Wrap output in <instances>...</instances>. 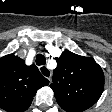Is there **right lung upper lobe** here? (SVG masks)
<instances>
[{"mask_svg": "<svg viewBox=\"0 0 112 112\" xmlns=\"http://www.w3.org/2000/svg\"><path fill=\"white\" fill-rule=\"evenodd\" d=\"M49 84L35 65L27 66L13 54L0 58V108L24 112L38 89Z\"/></svg>", "mask_w": 112, "mask_h": 112, "instance_id": "1", "label": "right lung upper lobe"}]
</instances>
